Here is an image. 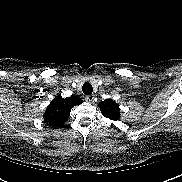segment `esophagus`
<instances>
[{
	"label": "esophagus",
	"instance_id": "34e87169",
	"mask_svg": "<svg viewBox=\"0 0 182 182\" xmlns=\"http://www.w3.org/2000/svg\"><path fill=\"white\" fill-rule=\"evenodd\" d=\"M85 99H86L87 102L92 103V102L94 101V96H93V95H87V96L85 97Z\"/></svg>",
	"mask_w": 182,
	"mask_h": 182
}]
</instances>
